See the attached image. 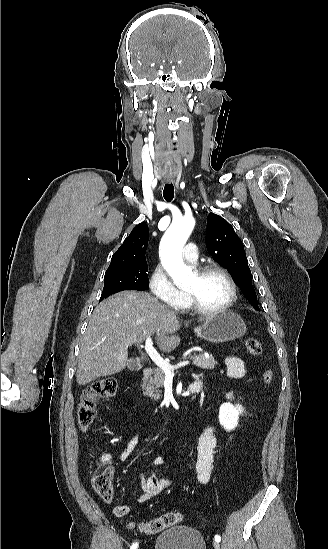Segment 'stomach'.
I'll use <instances>...</instances> for the list:
<instances>
[{"instance_id": "obj_1", "label": "stomach", "mask_w": 328, "mask_h": 549, "mask_svg": "<svg viewBox=\"0 0 328 549\" xmlns=\"http://www.w3.org/2000/svg\"><path fill=\"white\" fill-rule=\"evenodd\" d=\"M197 337L209 343H226L240 339L246 333V325L235 311L225 309L217 315L206 317L204 323L194 329Z\"/></svg>"}]
</instances>
